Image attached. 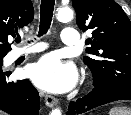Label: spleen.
<instances>
[{"label":"spleen","instance_id":"spleen-1","mask_svg":"<svg viewBox=\"0 0 131 115\" xmlns=\"http://www.w3.org/2000/svg\"><path fill=\"white\" fill-rule=\"evenodd\" d=\"M109 115H131V109L125 107L112 108L109 111Z\"/></svg>","mask_w":131,"mask_h":115}]
</instances>
